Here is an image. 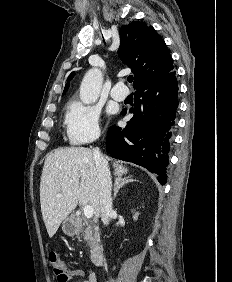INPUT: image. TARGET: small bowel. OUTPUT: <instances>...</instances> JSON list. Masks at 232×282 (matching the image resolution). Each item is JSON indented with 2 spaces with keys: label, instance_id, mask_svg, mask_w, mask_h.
Masks as SVG:
<instances>
[{
  "label": "small bowel",
  "instance_id": "1",
  "mask_svg": "<svg viewBox=\"0 0 232 282\" xmlns=\"http://www.w3.org/2000/svg\"><path fill=\"white\" fill-rule=\"evenodd\" d=\"M80 278V282H98L96 273L89 268L70 270L66 274L65 280H58V282H68L70 279Z\"/></svg>",
  "mask_w": 232,
  "mask_h": 282
}]
</instances>
